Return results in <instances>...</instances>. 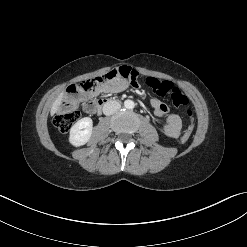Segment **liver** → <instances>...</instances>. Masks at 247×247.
Wrapping results in <instances>:
<instances>
[{
	"instance_id": "liver-1",
	"label": "liver",
	"mask_w": 247,
	"mask_h": 247,
	"mask_svg": "<svg viewBox=\"0 0 247 247\" xmlns=\"http://www.w3.org/2000/svg\"><path fill=\"white\" fill-rule=\"evenodd\" d=\"M63 93H60V95L56 98V100L53 102L50 114L53 116L56 112H58L60 105L62 103Z\"/></svg>"
}]
</instances>
